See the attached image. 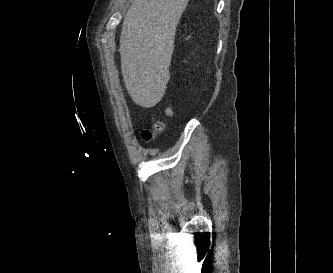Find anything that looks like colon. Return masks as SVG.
<instances>
[{
	"instance_id": "5ec220e1",
	"label": "colon",
	"mask_w": 333,
	"mask_h": 273,
	"mask_svg": "<svg viewBox=\"0 0 333 273\" xmlns=\"http://www.w3.org/2000/svg\"><path fill=\"white\" fill-rule=\"evenodd\" d=\"M167 113L169 114V111H167ZM164 127L165 123L163 120L161 119L154 120L151 128L142 130L141 136L145 141H150L154 137V135L162 132Z\"/></svg>"
}]
</instances>
